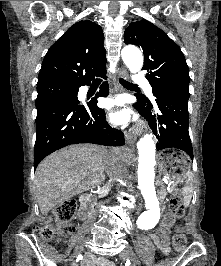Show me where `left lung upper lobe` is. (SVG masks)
<instances>
[{"label": "left lung upper lobe", "mask_w": 221, "mask_h": 266, "mask_svg": "<svg viewBox=\"0 0 221 266\" xmlns=\"http://www.w3.org/2000/svg\"><path fill=\"white\" fill-rule=\"evenodd\" d=\"M124 42L140 47L144 53L143 70L153 91L189 99V71L179 46L151 22H132L124 32ZM149 101L146 97L141 96Z\"/></svg>", "instance_id": "obj_1"}]
</instances>
